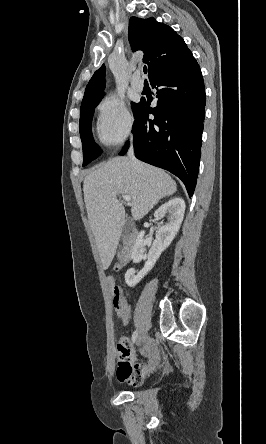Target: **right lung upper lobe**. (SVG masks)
<instances>
[{
    "label": "right lung upper lobe",
    "instance_id": "obj_1",
    "mask_svg": "<svg viewBox=\"0 0 266 444\" xmlns=\"http://www.w3.org/2000/svg\"><path fill=\"white\" fill-rule=\"evenodd\" d=\"M129 41L133 51L144 52L143 62L148 64V78L187 63L193 58L182 37L171 27L157 22L154 18L131 17L129 21ZM106 67L102 65L90 79L83 97L87 102L103 96Z\"/></svg>",
    "mask_w": 266,
    "mask_h": 444
}]
</instances>
